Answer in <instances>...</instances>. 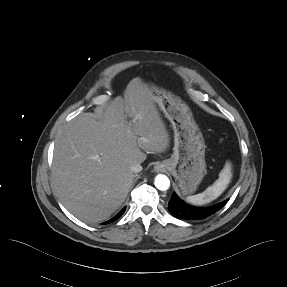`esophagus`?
I'll use <instances>...</instances> for the list:
<instances>
[{"label": "esophagus", "instance_id": "1", "mask_svg": "<svg viewBox=\"0 0 287 287\" xmlns=\"http://www.w3.org/2000/svg\"><path fill=\"white\" fill-rule=\"evenodd\" d=\"M166 169V166L163 163H158L155 166V171L157 172H163Z\"/></svg>", "mask_w": 287, "mask_h": 287}]
</instances>
